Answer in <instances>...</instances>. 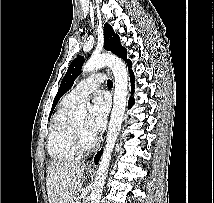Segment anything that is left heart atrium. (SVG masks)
I'll list each match as a JSON object with an SVG mask.
<instances>
[{
  "label": "left heart atrium",
  "instance_id": "obj_1",
  "mask_svg": "<svg viewBox=\"0 0 214 203\" xmlns=\"http://www.w3.org/2000/svg\"><path fill=\"white\" fill-rule=\"evenodd\" d=\"M109 103L102 93H97L92 101L86 128L91 134L101 131L106 124Z\"/></svg>",
  "mask_w": 214,
  "mask_h": 203
}]
</instances>
